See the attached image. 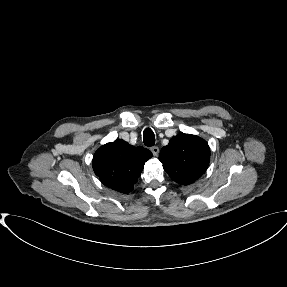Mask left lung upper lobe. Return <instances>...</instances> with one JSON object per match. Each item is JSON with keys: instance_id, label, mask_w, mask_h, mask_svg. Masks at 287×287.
Returning a JSON list of instances; mask_svg holds the SVG:
<instances>
[{"instance_id": "left-lung-upper-lobe-1", "label": "left lung upper lobe", "mask_w": 287, "mask_h": 287, "mask_svg": "<svg viewBox=\"0 0 287 287\" xmlns=\"http://www.w3.org/2000/svg\"><path fill=\"white\" fill-rule=\"evenodd\" d=\"M210 149L202 138L181 133L173 137L159 154V160L170 178L179 184L188 185L206 171Z\"/></svg>"}]
</instances>
